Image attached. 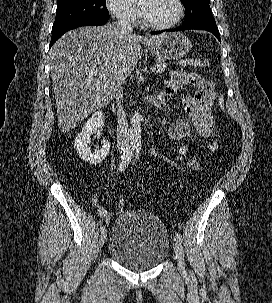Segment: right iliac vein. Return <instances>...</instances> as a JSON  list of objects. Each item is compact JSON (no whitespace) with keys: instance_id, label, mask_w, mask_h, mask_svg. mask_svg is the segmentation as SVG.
Here are the masks:
<instances>
[{"instance_id":"1","label":"right iliac vein","mask_w":272,"mask_h":303,"mask_svg":"<svg viewBox=\"0 0 272 303\" xmlns=\"http://www.w3.org/2000/svg\"><path fill=\"white\" fill-rule=\"evenodd\" d=\"M106 237H107V231L105 230L104 232H101V235L99 237V245L100 247H102L106 241Z\"/></svg>"}]
</instances>
